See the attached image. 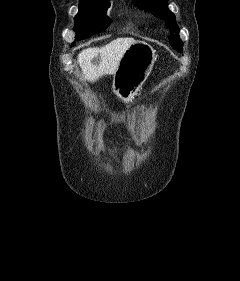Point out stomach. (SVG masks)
Wrapping results in <instances>:
<instances>
[{
	"instance_id": "obj_1",
	"label": "stomach",
	"mask_w": 240,
	"mask_h": 281,
	"mask_svg": "<svg viewBox=\"0 0 240 281\" xmlns=\"http://www.w3.org/2000/svg\"><path fill=\"white\" fill-rule=\"evenodd\" d=\"M156 61L155 50L144 41H134L125 51L113 78V90L124 100H131L150 75Z\"/></svg>"
}]
</instances>
